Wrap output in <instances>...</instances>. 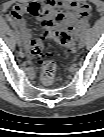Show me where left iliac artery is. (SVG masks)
I'll list each match as a JSON object with an SVG mask.
<instances>
[{
    "instance_id": "obj_1",
    "label": "left iliac artery",
    "mask_w": 104,
    "mask_h": 137,
    "mask_svg": "<svg viewBox=\"0 0 104 137\" xmlns=\"http://www.w3.org/2000/svg\"><path fill=\"white\" fill-rule=\"evenodd\" d=\"M88 28H89V25H87V26L82 30V34H81L82 37H84V35L87 33Z\"/></svg>"
}]
</instances>
